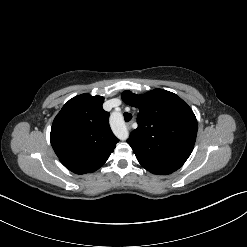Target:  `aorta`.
I'll use <instances>...</instances> for the list:
<instances>
[{
    "label": "aorta",
    "mask_w": 247,
    "mask_h": 247,
    "mask_svg": "<svg viewBox=\"0 0 247 247\" xmlns=\"http://www.w3.org/2000/svg\"><path fill=\"white\" fill-rule=\"evenodd\" d=\"M124 133H125V136H127V131L126 130L124 131Z\"/></svg>",
    "instance_id": "762f6f07"
}]
</instances>
